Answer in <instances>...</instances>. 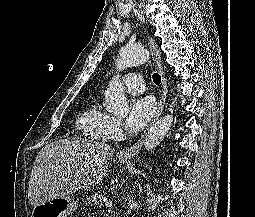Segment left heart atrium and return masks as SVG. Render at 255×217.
I'll return each mask as SVG.
<instances>
[{"label": "left heart atrium", "mask_w": 255, "mask_h": 217, "mask_svg": "<svg viewBox=\"0 0 255 217\" xmlns=\"http://www.w3.org/2000/svg\"><path fill=\"white\" fill-rule=\"evenodd\" d=\"M154 113V102L151 98L133 99L129 105L126 117L127 130L132 133L140 132L149 123Z\"/></svg>", "instance_id": "left-heart-atrium-1"}]
</instances>
